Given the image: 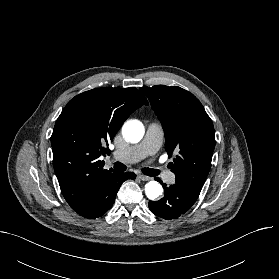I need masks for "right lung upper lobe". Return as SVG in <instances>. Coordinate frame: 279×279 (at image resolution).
I'll use <instances>...</instances> for the list:
<instances>
[{
    "label": "right lung upper lobe",
    "mask_w": 279,
    "mask_h": 279,
    "mask_svg": "<svg viewBox=\"0 0 279 279\" xmlns=\"http://www.w3.org/2000/svg\"><path fill=\"white\" fill-rule=\"evenodd\" d=\"M147 99L136 88L103 87L71 99L58 117L51 136L53 163L61 192L70 207L84 206L113 170L99 160L128 116Z\"/></svg>",
    "instance_id": "obj_1"
}]
</instances>
